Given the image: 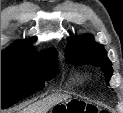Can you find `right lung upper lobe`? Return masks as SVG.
<instances>
[{
    "mask_svg": "<svg viewBox=\"0 0 123 113\" xmlns=\"http://www.w3.org/2000/svg\"><path fill=\"white\" fill-rule=\"evenodd\" d=\"M10 48L33 50V46L31 45V43L29 41H16ZM50 51L57 54L55 49H50Z\"/></svg>",
    "mask_w": 123,
    "mask_h": 113,
    "instance_id": "right-lung-upper-lobe-1",
    "label": "right lung upper lobe"
}]
</instances>
